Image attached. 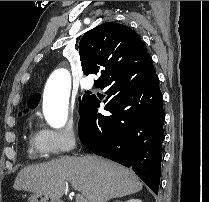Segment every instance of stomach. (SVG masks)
<instances>
[{"instance_id": "1", "label": "stomach", "mask_w": 209, "mask_h": 202, "mask_svg": "<svg viewBox=\"0 0 209 202\" xmlns=\"http://www.w3.org/2000/svg\"><path fill=\"white\" fill-rule=\"evenodd\" d=\"M28 202H61V201L59 199L50 198L42 194L32 193L28 198Z\"/></svg>"}]
</instances>
